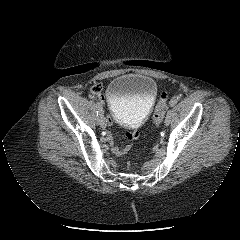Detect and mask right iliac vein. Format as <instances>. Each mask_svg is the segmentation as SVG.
<instances>
[{
    "mask_svg": "<svg viewBox=\"0 0 240 240\" xmlns=\"http://www.w3.org/2000/svg\"><path fill=\"white\" fill-rule=\"evenodd\" d=\"M99 125L102 127V128H105L106 125H107V122H106V118L104 116H101L99 118Z\"/></svg>",
    "mask_w": 240,
    "mask_h": 240,
    "instance_id": "obj_1",
    "label": "right iliac vein"
}]
</instances>
